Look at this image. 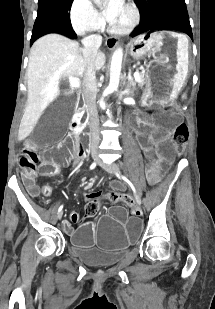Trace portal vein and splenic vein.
I'll return each mask as SVG.
<instances>
[{"mask_svg":"<svg viewBox=\"0 0 215 309\" xmlns=\"http://www.w3.org/2000/svg\"><path fill=\"white\" fill-rule=\"evenodd\" d=\"M133 76L135 80H140L139 72H134ZM79 80L80 78H75V76H69L70 86H80Z\"/></svg>","mask_w":215,"mask_h":309,"instance_id":"18ae733b","label":"portal vein and splenic vein"}]
</instances>
